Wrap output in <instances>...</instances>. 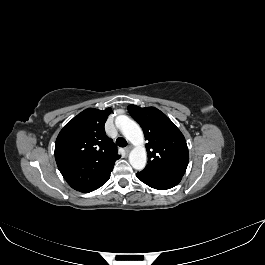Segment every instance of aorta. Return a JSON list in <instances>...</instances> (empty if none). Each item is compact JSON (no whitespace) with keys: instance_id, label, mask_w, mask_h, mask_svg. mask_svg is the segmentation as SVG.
I'll list each match as a JSON object with an SVG mask.
<instances>
[{"instance_id":"aorta-1","label":"aorta","mask_w":265,"mask_h":265,"mask_svg":"<svg viewBox=\"0 0 265 265\" xmlns=\"http://www.w3.org/2000/svg\"><path fill=\"white\" fill-rule=\"evenodd\" d=\"M116 125L123 136L135 146L129 154L131 166L136 170H143L147 162V153L141 128L135 121L126 116H120Z\"/></svg>"}]
</instances>
